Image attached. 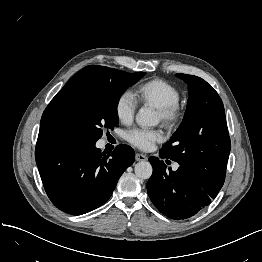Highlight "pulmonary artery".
<instances>
[{
    "instance_id": "obj_1",
    "label": "pulmonary artery",
    "mask_w": 262,
    "mask_h": 262,
    "mask_svg": "<svg viewBox=\"0 0 262 262\" xmlns=\"http://www.w3.org/2000/svg\"><path fill=\"white\" fill-rule=\"evenodd\" d=\"M173 168H174V169H177V168H178V165H177V164H175V165L173 166Z\"/></svg>"
}]
</instances>
